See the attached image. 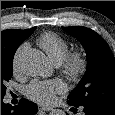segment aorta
Wrapping results in <instances>:
<instances>
[{
    "mask_svg": "<svg viewBox=\"0 0 115 115\" xmlns=\"http://www.w3.org/2000/svg\"><path fill=\"white\" fill-rule=\"evenodd\" d=\"M19 64L24 73L31 76H44L48 72L45 54L39 50H28L19 57ZM49 115H66L63 110L53 109Z\"/></svg>",
    "mask_w": 115,
    "mask_h": 115,
    "instance_id": "aorta-1",
    "label": "aorta"
}]
</instances>
